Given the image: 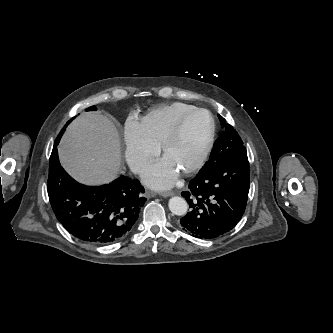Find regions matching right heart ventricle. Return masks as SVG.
<instances>
[{"label": "right heart ventricle", "instance_id": "obj_1", "mask_svg": "<svg viewBox=\"0 0 333 333\" xmlns=\"http://www.w3.org/2000/svg\"><path fill=\"white\" fill-rule=\"evenodd\" d=\"M196 108L184 102H173L149 110L142 118V125L150 140L161 146L176 121L186 112Z\"/></svg>", "mask_w": 333, "mask_h": 333}]
</instances>
